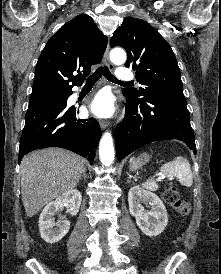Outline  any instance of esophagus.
Returning <instances> with one entry per match:
<instances>
[{
	"instance_id": "34e87169",
	"label": "esophagus",
	"mask_w": 221,
	"mask_h": 274,
	"mask_svg": "<svg viewBox=\"0 0 221 274\" xmlns=\"http://www.w3.org/2000/svg\"><path fill=\"white\" fill-rule=\"evenodd\" d=\"M104 61L110 69L114 68V65L111 63V61L109 59V45H107V48H106L105 53H104ZM99 124H100V127H101L102 130H104L108 127V122L107 121L100 120Z\"/></svg>"
}]
</instances>
